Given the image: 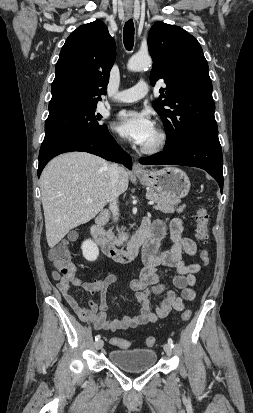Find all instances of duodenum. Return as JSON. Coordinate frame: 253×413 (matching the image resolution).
Segmentation results:
<instances>
[{
	"mask_svg": "<svg viewBox=\"0 0 253 413\" xmlns=\"http://www.w3.org/2000/svg\"><path fill=\"white\" fill-rule=\"evenodd\" d=\"M109 211L103 210L95 218L91 226V234L98 245L101 246L104 254L114 261L128 263L136 258L139 249L153 236V231L149 221L144 220L139 230L131 237L126 248L118 247L110 240L103 226L108 221Z\"/></svg>",
	"mask_w": 253,
	"mask_h": 413,
	"instance_id": "duodenum-1",
	"label": "duodenum"
}]
</instances>
